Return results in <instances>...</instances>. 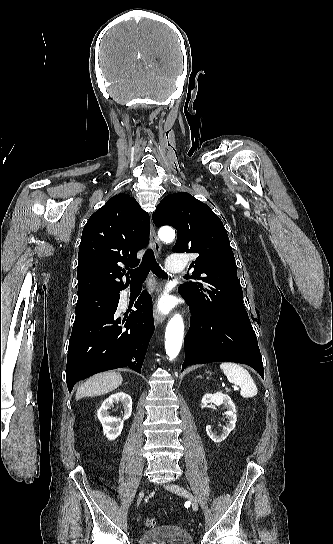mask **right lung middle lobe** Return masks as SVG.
Returning a JSON list of instances; mask_svg holds the SVG:
<instances>
[{
	"label": "right lung middle lobe",
	"instance_id": "obj_1",
	"mask_svg": "<svg viewBox=\"0 0 333 544\" xmlns=\"http://www.w3.org/2000/svg\"><path fill=\"white\" fill-rule=\"evenodd\" d=\"M118 302V293H107L78 300L76 317L73 325L80 324L95 315L114 307Z\"/></svg>",
	"mask_w": 333,
	"mask_h": 544
}]
</instances>
